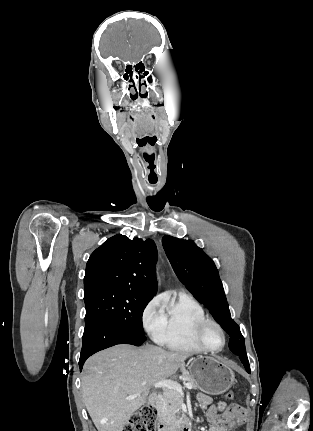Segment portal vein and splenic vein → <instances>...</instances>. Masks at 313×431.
Wrapping results in <instances>:
<instances>
[{
  "mask_svg": "<svg viewBox=\"0 0 313 431\" xmlns=\"http://www.w3.org/2000/svg\"><path fill=\"white\" fill-rule=\"evenodd\" d=\"M153 386L155 388H168V389H174L176 390L180 395H183V390H182V386L176 382V381H172V380H161L158 381L156 383L153 384ZM185 388L187 389H192V384L191 383H186ZM140 393L133 395V396H129L127 397V399H134L136 398Z\"/></svg>",
  "mask_w": 313,
  "mask_h": 431,
  "instance_id": "portal-vein-and-splenic-vein-1",
  "label": "portal vein and splenic vein"
}]
</instances>
